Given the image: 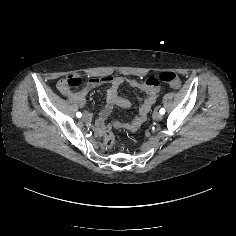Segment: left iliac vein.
Segmentation results:
<instances>
[{
	"label": "left iliac vein",
	"instance_id": "left-iliac-vein-1",
	"mask_svg": "<svg viewBox=\"0 0 236 236\" xmlns=\"http://www.w3.org/2000/svg\"><path fill=\"white\" fill-rule=\"evenodd\" d=\"M162 117V114H160L159 112H154L153 115H152V118L154 120H160Z\"/></svg>",
	"mask_w": 236,
	"mask_h": 236
}]
</instances>
